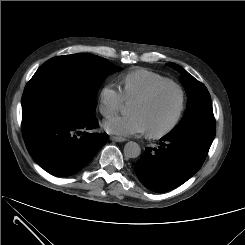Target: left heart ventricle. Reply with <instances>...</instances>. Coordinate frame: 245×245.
Instances as JSON below:
<instances>
[{"label":"left heart ventricle","mask_w":245,"mask_h":245,"mask_svg":"<svg viewBox=\"0 0 245 245\" xmlns=\"http://www.w3.org/2000/svg\"><path fill=\"white\" fill-rule=\"evenodd\" d=\"M178 94L169 89L160 93L146 103L130 102L128 112L138 114L144 121L147 130H160L172 120L178 107Z\"/></svg>","instance_id":"left-heart-ventricle-1"}]
</instances>
